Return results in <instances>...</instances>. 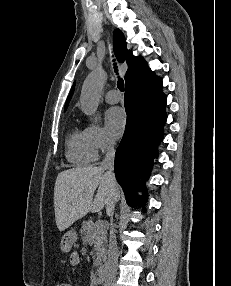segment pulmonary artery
<instances>
[{
    "label": "pulmonary artery",
    "instance_id": "obj_1",
    "mask_svg": "<svg viewBox=\"0 0 231 286\" xmlns=\"http://www.w3.org/2000/svg\"><path fill=\"white\" fill-rule=\"evenodd\" d=\"M105 100L107 103L115 104L121 100V95L118 90L111 89L105 94Z\"/></svg>",
    "mask_w": 231,
    "mask_h": 286
}]
</instances>
